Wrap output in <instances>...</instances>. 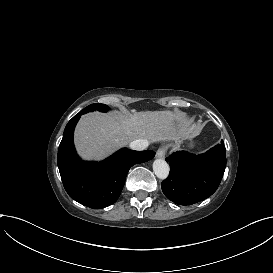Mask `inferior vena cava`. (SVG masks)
<instances>
[{"instance_id":"obj_1","label":"inferior vena cava","mask_w":273,"mask_h":273,"mask_svg":"<svg viewBox=\"0 0 273 273\" xmlns=\"http://www.w3.org/2000/svg\"><path fill=\"white\" fill-rule=\"evenodd\" d=\"M149 142L146 139L134 140L130 143V148L133 150L141 151L148 147Z\"/></svg>"}]
</instances>
